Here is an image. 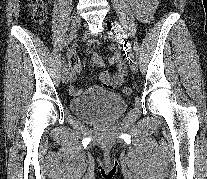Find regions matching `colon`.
<instances>
[{
    "instance_id": "1",
    "label": "colon",
    "mask_w": 207,
    "mask_h": 179,
    "mask_svg": "<svg viewBox=\"0 0 207 179\" xmlns=\"http://www.w3.org/2000/svg\"><path fill=\"white\" fill-rule=\"evenodd\" d=\"M47 2L48 0H29L32 18L35 23L40 25L45 23L47 18ZM131 91L132 90L129 86L121 88V93L123 95H129Z\"/></svg>"
}]
</instances>
